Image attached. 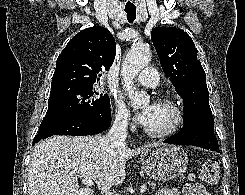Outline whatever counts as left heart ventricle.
Segmentation results:
<instances>
[{"label":"left heart ventricle","instance_id":"obj_1","mask_svg":"<svg viewBox=\"0 0 245 195\" xmlns=\"http://www.w3.org/2000/svg\"><path fill=\"white\" fill-rule=\"evenodd\" d=\"M175 118L176 115L172 108L157 103L145 127L152 131L166 130L174 123Z\"/></svg>","mask_w":245,"mask_h":195}]
</instances>
